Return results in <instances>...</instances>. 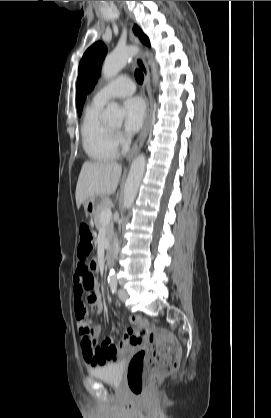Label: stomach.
I'll return each mask as SVG.
<instances>
[{"mask_svg":"<svg viewBox=\"0 0 271 418\" xmlns=\"http://www.w3.org/2000/svg\"><path fill=\"white\" fill-rule=\"evenodd\" d=\"M100 204L98 197H90L83 202V209L86 215L91 216Z\"/></svg>","mask_w":271,"mask_h":418,"instance_id":"1","label":"stomach"}]
</instances>
